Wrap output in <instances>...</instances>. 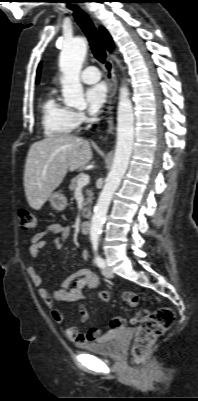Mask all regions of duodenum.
<instances>
[{"label":"duodenum","instance_id":"410a0bca","mask_svg":"<svg viewBox=\"0 0 198 401\" xmlns=\"http://www.w3.org/2000/svg\"><path fill=\"white\" fill-rule=\"evenodd\" d=\"M80 229L82 233H88L90 230V221L89 220H84L81 225H80Z\"/></svg>","mask_w":198,"mask_h":401}]
</instances>
